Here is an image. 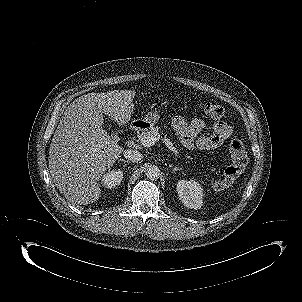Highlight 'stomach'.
I'll return each mask as SVG.
<instances>
[{"instance_id":"stomach-1","label":"stomach","mask_w":302,"mask_h":302,"mask_svg":"<svg viewBox=\"0 0 302 302\" xmlns=\"http://www.w3.org/2000/svg\"><path fill=\"white\" fill-rule=\"evenodd\" d=\"M159 118L160 116L156 111H150L143 119L138 120L137 122L140 127L147 128L154 126L158 122Z\"/></svg>"}]
</instances>
